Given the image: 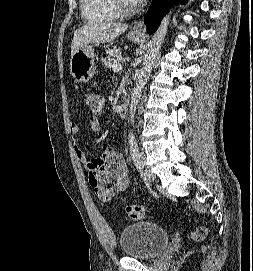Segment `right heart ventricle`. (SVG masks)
<instances>
[{
  "instance_id": "obj_1",
  "label": "right heart ventricle",
  "mask_w": 253,
  "mask_h": 271,
  "mask_svg": "<svg viewBox=\"0 0 253 271\" xmlns=\"http://www.w3.org/2000/svg\"><path fill=\"white\" fill-rule=\"evenodd\" d=\"M82 17L88 23L112 22L120 17L115 0H80Z\"/></svg>"
}]
</instances>
